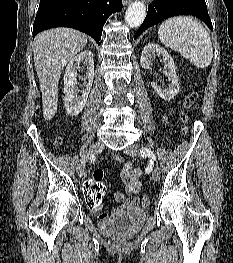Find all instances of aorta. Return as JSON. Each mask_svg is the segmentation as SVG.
I'll list each match as a JSON object with an SVG mask.
<instances>
[{"label":"aorta","instance_id":"obj_1","mask_svg":"<svg viewBox=\"0 0 233 263\" xmlns=\"http://www.w3.org/2000/svg\"><path fill=\"white\" fill-rule=\"evenodd\" d=\"M146 17V7L140 1L131 3L125 14V21L131 28L139 27Z\"/></svg>","mask_w":233,"mask_h":263}]
</instances>
